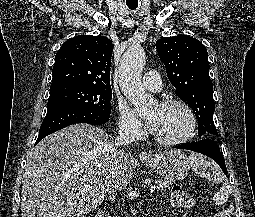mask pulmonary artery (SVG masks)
<instances>
[{"instance_id":"e3ab8cb5","label":"pulmonary artery","mask_w":255,"mask_h":217,"mask_svg":"<svg viewBox=\"0 0 255 217\" xmlns=\"http://www.w3.org/2000/svg\"><path fill=\"white\" fill-rule=\"evenodd\" d=\"M143 86L149 91H160L162 87L161 77L155 71H148L143 77Z\"/></svg>"}]
</instances>
